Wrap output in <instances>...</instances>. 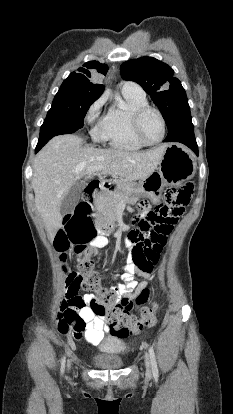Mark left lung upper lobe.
<instances>
[{
    "mask_svg": "<svg viewBox=\"0 0 233 414\" xmlns=\"http://www.w3.org/2000/svg\"><path fill=\"white\" fill-rule=\"evenodd\" d=\"M120 70L124 80L137 82L150 94L168 128L180 113L190 109L181 82L173 77L174 71L167 64L152 57H142L124 62Z\"/></svg>",
    "mask_w": 233,
    "mask_h": 414,
    "instance_id": "left-lung-upper-lobe-1",
    "label": "left lung upper lobe"
}]
</instances>
